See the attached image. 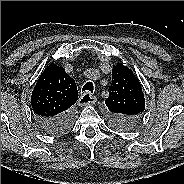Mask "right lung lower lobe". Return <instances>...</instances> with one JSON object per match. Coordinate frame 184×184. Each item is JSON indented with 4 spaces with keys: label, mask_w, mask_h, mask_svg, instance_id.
I'll return each instance as SVG.
<instances>
[{
    "label": "right lung lower lobe",
    "mask_w": 184,
    "mask_h": 184,
    "mask_svg": "<svg viewBox=\"0 0 184 184\" xmlns=\"http://www.w3.org/2000/svg\"><path fill=\"white\" fill-rule=\"evenodd\" d=\"M37 121L43 131L48 134H56L68 123H72V114L69 110L57 117L53 118H37Z\"/></svg>",
    "instance_id": "1"
}]
</instances>
